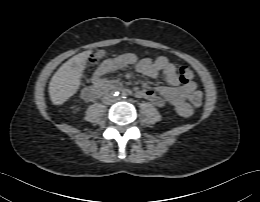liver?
<instances>
[{
    "mask_svg": "<svg viewBox=\"0 0 260 202\" xmlns=\"http://www.w3.org/2000/svg\"><path fill=\"white\" fill-rule=\"evenodd\" d=\"M91 53L89 50L73 56L55 72L49 83V96L54 105L63 104L78 91Z\"/></svg>",
    "mask_w": 260,
    "mask_h": 202,
    "instance_id": "obj_1",
    "label": "liver"
}]
</instances>
